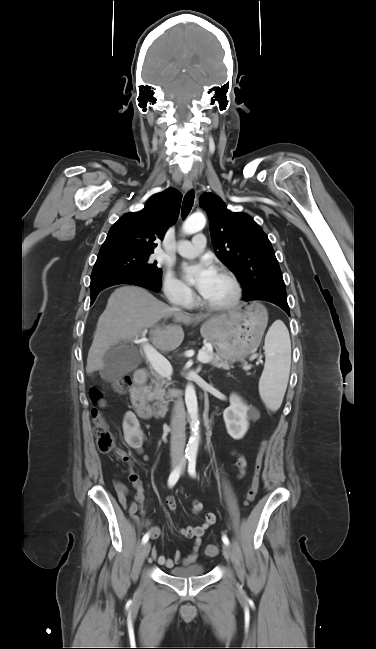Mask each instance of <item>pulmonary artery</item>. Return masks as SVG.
Segmentation results:
<instances>
[{
    "label": "pulmonary artery",
    "instance_id": "pulmonary-artery-1",
    "mask_svg": "<svg viewBox=\"0 0 376 649\" xmlns=\"http://www.w3.org/2000/svg\"><path fill=\"white\" fill-rule=\"evenodd\" d=\"M206 246V238L203 233H198L192 241L181 240L177 242L174 250L185 257H193L201 252Z\"/></svg>",
    "mask_w": 376,
    "mask_h": 649
}]
</instances>
